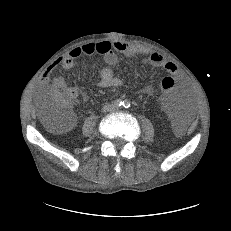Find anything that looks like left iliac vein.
Here are the masks:
<instances>
[{
  "mask_svg": "<svg viewBox=\"0 0 231 231\" xmlns=\"http://www.w3.org/2000/svg\"><path fill=\"white\" fill-rule=\"evenodd\" d=\"M118 109L117 107H114V110Z\"/></svg>",
  "mask_w": 231,
  "mask_h": 231,
  "instance_id": "left-iliac-vein-1",
  "label": "left iliac vein"
}]
</instances>
